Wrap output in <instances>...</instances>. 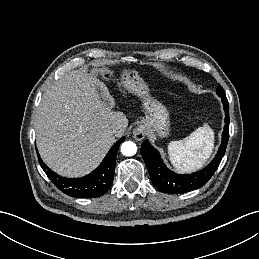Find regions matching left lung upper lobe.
Returning a JSON list of instances; mask_svg holds the SVG:
<instances>
[{
  "label": "left lung upper lobe",
  "instance_id": "left-lung-upper-lobe-1",
  "mask_svg": "<svg viewBox=\"0 0 259 259\" xmlns=\"http://www.w3.org/2000/svg\"><path fill=\"white\" fill-rule=\"evenodd\" d=\"M217 94H218L219 96L225 95V92H224L223 88H222L220 85H219L218 88H217Z\"/></svg>",
  "mask_w": 259,
  "mask_h": 259
}]
</instances>
